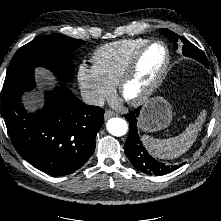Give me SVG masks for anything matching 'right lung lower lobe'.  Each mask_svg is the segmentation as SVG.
<instances>
[{"instance_id": "right-lung-lower-lobe-1", "label": "right lung lower lobe", "mask_w": 221, "mask_h": 221, "mask_svg": "<svg viewBox=\"0 0 221 221\" xmlns=\"http://www.w3.org/2000/svg\"><path fill=\"white\" fill-rule=\"evenodd\" d=\"M31 89L2 92L3 118L17 152L35 168L57 176L81 168L95 150L104 110L82 103L70 90L45 93L44 108L28 113L21 95Z\"/></svg>"}]
</instances>
